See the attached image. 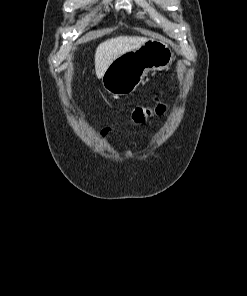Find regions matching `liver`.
<instances>
[{"label":"liver","instance_id":"liver-1","mask_svg":"<svg viewBox=\"0 0 247 296\" xmlns=\"http://www.w3.org/2000/svg\"><path fill=\"white\" fill-rule=\"evenodd\" d=\"M147 38L140 36H119L99 44L95 52V71L101 79L109 65L120 55L138 49Z\"/></svg>","mask_w":247,"mask_h":296}]
</instances>
